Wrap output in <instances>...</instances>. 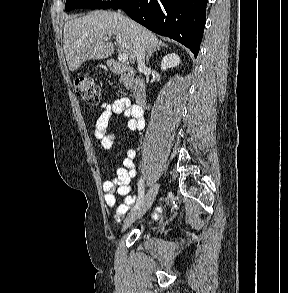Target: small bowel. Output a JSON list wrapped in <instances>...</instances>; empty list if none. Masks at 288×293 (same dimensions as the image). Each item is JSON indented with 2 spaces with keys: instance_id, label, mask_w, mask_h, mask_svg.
Segmentation results:
<instances>
[{
  "instance_id": "c3829d8e",
  "label": "small bowel",
  "mask_w": 288,
  "mask_h": 293,
  "mask_svg": "<svg viewBox=\"0 0 288 293\" xmlns=\"http://www.w3.org/2000/svg\"><path fill=\"white\" fill-rule=\"evenodd\" d=\"M124 114L129 118L128 128L140 131L145 126L143 110L137 105H132L128 98H120L112 103L102 104V112L96 120L93 137L100 143L103 150H110L113 146L115 133L108 131L112 117ZM135 149H128L122 160V165L115 169V175L104 181L102 189L106 205L114 211L117 222H120L136 201V197L129 195L130 182L136 175ZM116 195L124 196L122 204L116 206Z\"/></svg>"
}]
</instances>
